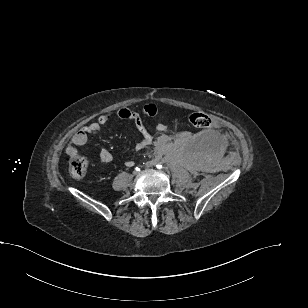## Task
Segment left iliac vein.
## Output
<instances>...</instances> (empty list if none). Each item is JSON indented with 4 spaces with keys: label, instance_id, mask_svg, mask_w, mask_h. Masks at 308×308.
Masks as SVG:
<instances>
[{
    "label": "left iliac vein",
    "instance_id": "1",
    "mask_svg": "<svg viewBox=\"0 0 308 308\" xmlns=\"http://www.w3.org/2000/svg\"><path fill=\"white\" fill-rule=\"evenodd\" d=\"M147 167H151V165L148 164Z\"/></svg>",
    "mask_w": 308,
    "mask_h": 308
}]
</instances>
